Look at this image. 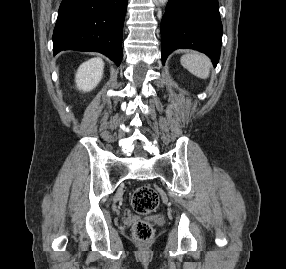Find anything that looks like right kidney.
Listing matches in <instances>:
<instances>
[{"mask_svg":"<svg viewBox=\"0 0 286 269\" xmlns=\"http://www.w3.org/2000/svg\"><path fill=\"white\" fill-rule=\"evenodd\" d=\"M104 63L100 58H92L83 63L76 73V84L79 90L91 91L100 82L103 75Z\"/></svg>","mask_w":286,"mask_h":269,"instance_id":"obj_1","label":"right kidney"}]
</instances>
